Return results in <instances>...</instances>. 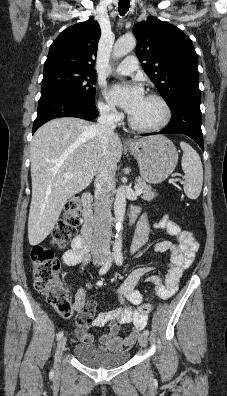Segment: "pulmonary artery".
<instances>
[{
	"label": "pulmonary artery",
	"instance_id": "pulmonary-artery-1",
	"mask_svg": "<svg viewBox=\"0 0 227 396\" xmlns=\"http://www.w3.org/2000/svg\"><path fill=\"white\" fill-rule=\"evenodd\" d=\"M138 68V60L135 56H127L116 68V73L120 75H129Z\"/></svg>",
	"mask_w": 227,
	"mask_h": 396
}]
</instances>
